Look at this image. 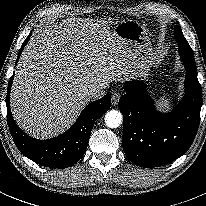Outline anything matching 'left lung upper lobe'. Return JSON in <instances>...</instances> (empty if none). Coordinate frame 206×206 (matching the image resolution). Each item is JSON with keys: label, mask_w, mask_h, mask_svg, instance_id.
Returning <instances> with one entry per match:
<instances>
[{"label": "left lung upper lobe", "mask_w": 206, "mask_h": 206, "mask_svg": "<svg viewBox=\"0 0 206 206\" xmlns=\"http://www.w3.org/2000/svg\"><path fill=\"white\" fill-rule=\"evenodd\" d=\"M175 38L178 41L179 50L183 49L185 53H189L191 54V56H193V51L186 39L184 38L181 28L179 26L175 27Z\"/></svg>", "instance_id": "left-lung-upper-lobe-1"}]
</instances>
